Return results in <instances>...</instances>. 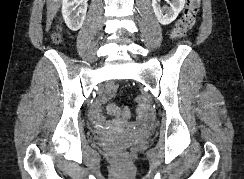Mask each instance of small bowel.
<instances>
[{"label": "small bowel", "instance_id": "obj_1", "mask_svg": "<svg viewBox=\"0 0 244 179\" xmlns=\"http://www.w3.org/2000/svg\"><path fill=\"white\" fill-rule=\"evenodd\" d=\"M110 90H112V89L110 88ZM107 110H119V109L116 107H113L112 109H110L108 107ZM153 114H154L153 110H144L143 112H140L139 119H140L141 125L142 126L148 125L150 123V121H152V116H150V115H153ZM121 116H124V115H121Z\"/></svg>", "mask_w": 244, "mask_h": 179}]
</instances>
